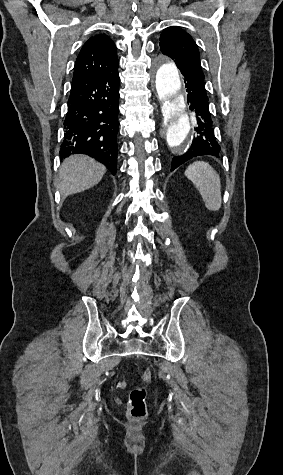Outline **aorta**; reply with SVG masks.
<instances>
[{
	"label": "aorta",
	"instance_id": "1",
	"mask_svg": "<svg viewBox=\"0 0 283 475\" xmlns=\"http://www.w3.org/2000/svg\"><path fill=\"white\" fill-rule=\"evenodd\" d=\"M155 86L163 105V147L176 155L183 154L191 145L193 127L181 94L179 71L173 62L157 65Z\"/></svg>",
	"mask_w": 283,
	"mask_h": 475
}]
</instances>
